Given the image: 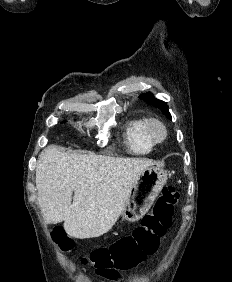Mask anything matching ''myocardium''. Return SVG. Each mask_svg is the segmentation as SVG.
<instances>
[{"mask_svg": "<svg viewBox=\"0 0 232 282\" xmlns=\"http://www.w3.org/2000/svg\"><path fill=\"white\" fill-rule=\"evenodd\" d=\"M145 134L153 144H159L166 140L168 129L162 120L149 118L145 125Z\"/></svg>", "mask_w": 232, "mask_h": 282, "instance_id": "obj_1", "label": "myocardium"}]
</instances>
